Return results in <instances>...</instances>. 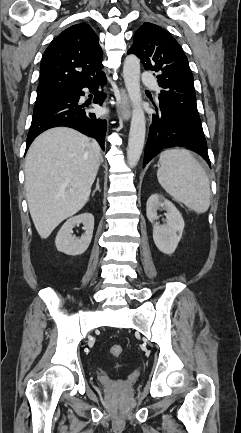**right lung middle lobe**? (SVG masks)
Instances as JSON below:
<instances>
[{"label":"right lung middle lobe","mask_w":241,"mask_h":433,"mask_svg":"<svg viewBox=\"0 0 241 433\" xmlns=\"http://www.w3.org/2000/svg\"><path fill=\"white\" fill-rule=\"evenodd\" d=\"M60 96V93H54V94H46V95H40L37 96L34 111L46 106L51 101L55 100Z\"/></svg>","instance_id":"1"}]
</instances>
